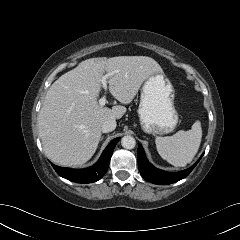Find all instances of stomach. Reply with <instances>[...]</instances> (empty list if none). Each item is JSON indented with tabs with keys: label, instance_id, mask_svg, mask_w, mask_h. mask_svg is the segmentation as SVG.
Masks as SVG:
<instances>
[{
	"label": "stomach",
	"instance_id": "obj_1",
	"mask_svg": "<svg viewBox=\"0 0 240 240\" xmlns=\"http://www.w3.org/2000/svg\"><path fill=\"white\" fill-rule=\"evenodd\" d=\"M174 97V88L163 73H153L145 80L138 108L144 132L155 136L171 133L175 129L178 113Z\"/></svg>",
	"mask_w": 240,
	"mask_h": 240
}]
</instances>
